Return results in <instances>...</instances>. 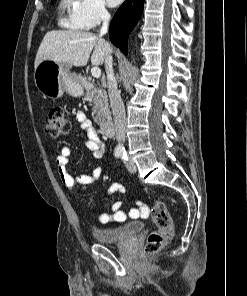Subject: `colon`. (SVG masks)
Here are the masks:
<instances>
[{"label":"colon","instance_id":"1","mask_svg":"<svg viewBox=\"0 0 247 296\" xmlns=\"http://www.w3.org/2000/svg\"><path fill=\"white\" fill-rule=\"evenodd\" d=\"M71 124L61 107H53L49 111L46 132L52 137L67 135ZM151 215L155 229L148 235L144 246L145 255H153L163 249L173 235L174 226L171 215L162 201H155L151 208L143 207L139 216ZM138 216V217H139Z\"/></svg>","mask_w":247,"mask_h":296}]
</instances>
